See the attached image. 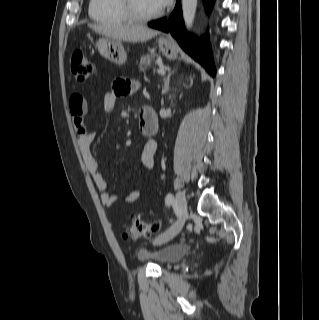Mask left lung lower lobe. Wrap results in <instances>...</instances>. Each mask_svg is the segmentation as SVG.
<instances>
[{"mask_svg": "<svg viewBox=\"0 0 319 320\" xmlns=\"http://www.w3.org/2000/svg\"><path fill=\"white\" fill-rule=\"evenodd\" d=\"M213 2L214 0H205L208 12H210ZM148 26L164 32H170L186 52L200 62L212 76L215 75L216 70L212 60L208 36L197 41L185 31L180 0H177L175 9L168 19L163 18L149 22Z\"/></svg>", "mask_w": 319, "mask_h": 320, "instance_id": "left-lung-lower-lobe-1", "label": "left lung lower lobe"}]
</instances>
